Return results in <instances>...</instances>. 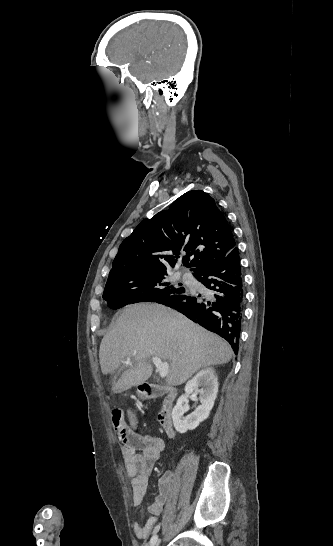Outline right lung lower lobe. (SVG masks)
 <instances>
[{
  "mask_svg": "<svg viewBox=\"0 0 333 546\" xmlns=\"http://www.w3.org/2000/svg\"><path fill=\"white\" fill-rule=\"evenodd\" d=\"M195 278L209 289L206 295H171L156 302L169 306L220 335L238 353L243 320L244 291L238 249L205 266Z\"/></svg>",
  "mask_w": 333,
  "mask_h": 546,
  "instance_id": "right-lung-lower-lobe-1",
  "label": "right lung lower lobe"
}]
</instances>
